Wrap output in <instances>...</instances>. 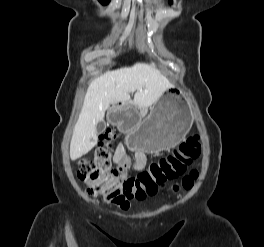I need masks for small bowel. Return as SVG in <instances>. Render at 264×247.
<instances>
[{"mask_svg": "<svg viewBox=\"0 0 264 247\" xmlns=\"http://www.w3.org/2000/svg\"><path fill=\"white\" fill-rule=\"evenodd\" d=\"M114 162L121 166H128L130 164L129 159L126 155V149L123 143H120L116 149L114 155ZM146 163V156L143 152H136L134 169L141 170Z\"/></svg>", "mask_w": 264, "mask_h": 247, "instance_id": "c3829d8e", "label": "small bowel"}]
</instances>
